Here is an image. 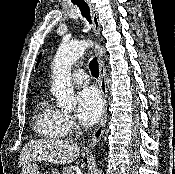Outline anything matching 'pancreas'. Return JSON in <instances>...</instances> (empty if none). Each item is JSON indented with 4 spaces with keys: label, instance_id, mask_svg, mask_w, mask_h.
<instances>
[{
    "label": "pancreas",
    "instance_id": "obj_1",
    "mask_svg": "<svg viewBox=\"0 0 175 174\" xmlns=\"http://www.w3.org/2000/svg\"><path fill=\"white\" fill-rule=\"evenodd\" d=\"M54 171H56V170H53L52 174H55ZM62 173L63 174H74V167L72 165H70L68 167H64Z\"/></svg>",
    "mask_w": 175,
    "mask_h": 174
}]
</instances>
